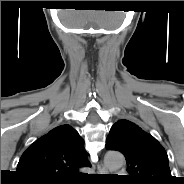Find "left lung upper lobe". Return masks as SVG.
Here are the masks:
<instances>
[{"label":"left lung upper lobe","instance_id":"5c2ea615","mask_svg":"<svg viewBox=\"0 0 184 184\" xmlns=\"http://www.w3.org/2000/svg\"><path fill=\"white\" fill-rule=\"evenodd\" d=\"M106 149L120 151L132 184H170L168 156L162 145L135 123L121 119L110 129Z\"/></svg>","mask_w":184,"mask_h":184}]
</instances>
